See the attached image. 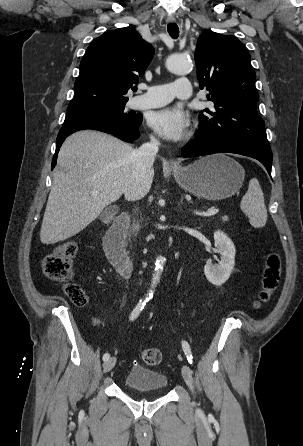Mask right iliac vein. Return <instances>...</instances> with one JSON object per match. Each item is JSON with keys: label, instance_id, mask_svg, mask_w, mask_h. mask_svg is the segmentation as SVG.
Returning a JSON list of instances; mask_svg holds the SVG:
<instances>
[{"label": "right iliac vein", "instance_id": "right-iliac-vein-1", "mask_svg": "<svg viewBox=\"0 0 303 446\" xmlns=\"http://www.w3.org/2000/svg\"><path fill=\"white\" fill-rule=\"evenodd\" d=\"M115 363H116L115 357H111L107 361H105L103 364L104 373L109 372L115 366Z\"/></svg>", "mask_w": 303, "mask_h": 446}]
</instances>
